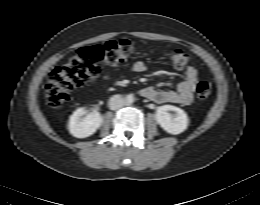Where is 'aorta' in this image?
Segmentation results:
<instances>
[{
	"label": "aorta",
	"mask_w": 260,
	"mask_h": 205,
	"mask_svg": "<svg viewBox=\"0 0 260 205\" xmlns=\"http://www.w3.org/2000/svg\"><path fill=\"white\" fill-rule=\"evenodd\" d=\"M134 101H135V98H134L133 94H128V95L126 96V98H125V102H126L127 104H131V103H133Z\"/></svg>",
	"instance_id": "762f6f07"
}]
</instances>
